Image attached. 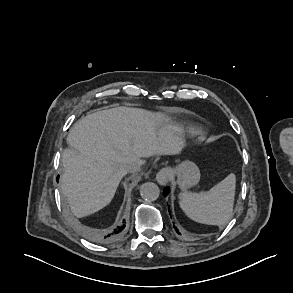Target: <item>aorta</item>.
Here are the masks:
<instances>
[{
    "mask_svg": "<svg viewBox=\"0 0 293 293\" xmlns=\"http://www.w3.org/2000/svg\"><path fill=\"white\" fill-rule=\"evenodd\" d=\"M140 195L144 200L152 202L158 199L160 189L157 184L153 182H146L140 186Z\"/></svg>",
    "mask_w": 293,
    "mask_h": 293,
    "instance_id": "aorta-1",
    "label": "aorta"
}]
</instances>
